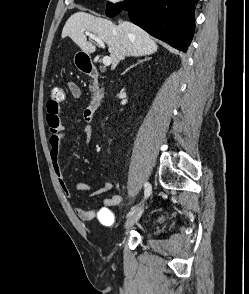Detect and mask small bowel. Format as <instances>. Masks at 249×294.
<instances>
[{
	"label": "small bowel",
	"mask_w": 249,
	"mask_h": 294,
	"mask_svg": "<svg viewBox=\"0 0 249 294\" xmlns=\"http://www.w3.org/2000/svg\"><path fill=\"white\" fill-rule=\"evenodd\" d=\"M67 88L73 99H78L80 97L81 91L75 82H67ZM85 110L83 113L85 121L83 125V135L86 141L90 142L93 134V127L91 119L88 118ZM63 118L61 106L59 104L53 106L48 102L46 122L51 132L48 140L50 161L60 189L67 197L71 198L73 196L72 189L63 174L60 162L62 141L66 137V126L63 123ZM75 121L78 122L79 120L76 119ZM74 187L77 191L89 193L91 197H96L110 191L112 184L110 182H104L97 187H92L86 182L79 180L75 183ZM123 202L124 196L122 194H114L90 208L75 206L74 212L81 221L86 222L96 219L102 226L111 227L115 223V215L110 209L122 205Z\"/></svg>",
	"instance_id": "1"
}]
</instances>
